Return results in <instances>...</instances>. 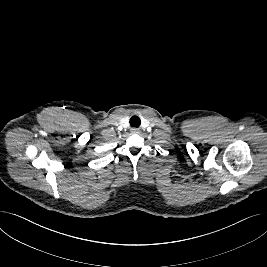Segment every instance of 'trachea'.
I'll return each mask as SVG.
<instances>
[{
  "label": "trachea",
  "mask_w": 267,
  "mask_h": 267,
  "mask_svg": "<svg viewBox=\"0 0 267 267\" xmlns=\"http://www.w3.org/2000/svg\"><path fill=\"white\" fill-rule=\"evenodd\" d=\"M141 124V120L138 116H132L130 119V125L132 127H139Z\"/></svg>",
  "instance_id": "trachea-1"
}]
</instances>
